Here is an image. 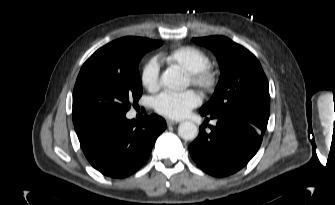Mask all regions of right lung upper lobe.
Here are the masks:
<instances>
[{"mask_svg":"<svg viewBox=\"0 0 335 205\" xmlns=\"http://www.w3.org/2000/svg\"><path fill=\"white\" fill-rule=\"evenodd\" d=\"M120 40V39H118ZM118 40L113 41L105 46H103L102 48H100L99 50H97L82 66L80 73L82 74L86 71H88L91 66L95 63H97L98 61L102 60L105 63L110 64L111 66H118L122 61H123V56L120 55L119 53H117V51H113L108 53V49L114 45L115 43L118 42ZM104 52L106 54H104ZM105 57H107V60L105 59Z\"/></svg>","mask_w":335,"mask_h":205,"instance_id":"obj_1","label":"right lung upper lobe"}]
</instances>
